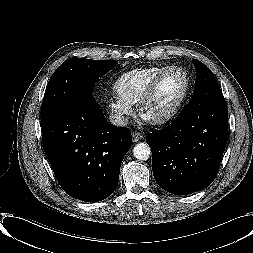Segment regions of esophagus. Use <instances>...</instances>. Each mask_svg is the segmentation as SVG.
<instances>
[{"instance_id": "esophagus-1", "label": "esophagus", "mask_w": 253, "mask_h": 253, "mask_svg": "<svg viewBox=\"0 0 253 253\" xmlns=\"http://www.w3.org/2000/svg\"><path fill=\"white\" fill-rule=\"evenodd\" d=\"M132 138L133 142H138L139 140H142L144 138V134L139 131H133Z\"/></svg>"}]
</instances>
